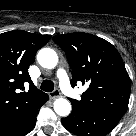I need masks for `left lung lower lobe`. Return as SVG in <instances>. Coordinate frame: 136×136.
I'll use <instances>...</instances> for the list:
<instances>
[{
  "label": "left lung lower lobe",
  "instance_id": "left-lung-lower-lobe-1",
  "mask_svg": "<svg viewBox=\"0 0 136 136\" xmlns=\"http://www.w3.org/2000/svg\"><path fill=\"white\" fill-rule=\"evenodd\" d=\"M121 116L73 107L63 126L77 136H103L110 133L120 121Z\"/></svg>",
  "mask_w": 136,
  "mask_h": 136
}]
</instances>
